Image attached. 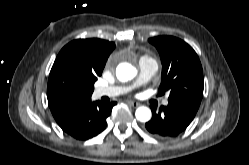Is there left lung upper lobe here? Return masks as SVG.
Returning a JSON list of instances; mask_svg holds the SVG:
<instances>
[{
    "label": "left lung upper lobe",
    "instance_id": "obj_1",
    "mask_svg": "<svg viewBox=\"0 0 249 165\" xmlns=\"http://www.w3.org/2000/svg\"><path fill=\"white\" fill-rule=\"evenodd\" d=\"M161 58L162 75L159 91L170 93L169 102L180 103L198 110L203 97V71L200 60L183 40L173 36L149 39Z\"/></svg>",
    "mask_w": 249,
    "mask_h": 165
}]
</instances>
